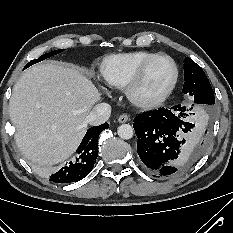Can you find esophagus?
<instances>
[{
    "instance_id": "1",
    "label": "esophagus",
    "mask_w": 233,
    "mask_h": 233,
    "mask_svg": "<svg viewBox=\"0 0 233 233\" xmlns=\"http://www.w3.org/2000/svg\"><path fill=\"white\" fill-rule=\"evenodd\" d=\"M129 120V116L127 114H122L118 118L119 123H125Z\"/></svg>"
}]
</instances>
